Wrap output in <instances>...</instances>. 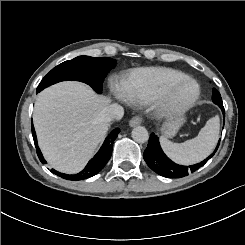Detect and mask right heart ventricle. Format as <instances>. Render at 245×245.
Segmentation results:
<instances>
[{
	"label": "right heart ventricle",
	"mask_w": 245,
	"mask_h": 245,
	"mask_svg": "<svg viewBox=\"0 0 245 245\" xmlns=\"http://www.w3.org/2000/svg\"><path fill=\"white\" fill-rule=\"evenodd\" d=\"M186 77L183 72L168 68L142 69L134 73L132 81L121 89L120 93L129 102H145L165 83Z\"/></svg>",
	"instance_id": "obj_1"
}]
</instances>
